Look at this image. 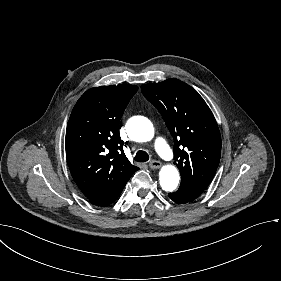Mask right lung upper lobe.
<instances>
[{
    "label": "right lung upper lobe",
    "mask_w": 281,
    "mask_h": 281,
    "mask_svg": "<svg viewBox=\"0 0 281 281\" xmlns=\"http://www.w3.org/2000/svg\"><path fill=\"white\" fill-rule=\"evenodd\" d=\"M138 90L134 85L91 88L74 106L66 130V158L72 177L93 199L132 176L138 167L123 152L119 121Z\"/></svg>",
    "instance_id": "cb5924a9"
}]
</instances>
